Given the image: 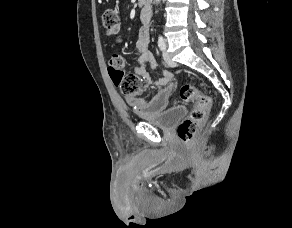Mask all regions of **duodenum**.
I'll return each instance as SVG.
<instances>
[{
    "mask_svg": "<svg viewBox=\"0 0 292 228\" xmlns=\"http://www.w3.org/2000/svg\"><path fill=\"white\" fill-rule=\"evenodd\" d=\"M139 3L143 6V7H149L151 4V0H139Z\"/></svg>",
    "mask_w": 292,
    "mask_h": 228,
    "instance_id": "obj_1",
    "label": "duodenum"
}]
</instances>
